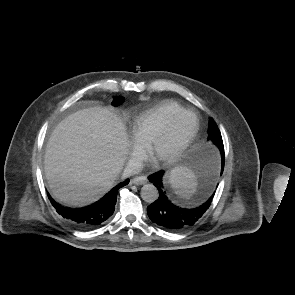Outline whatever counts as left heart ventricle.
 I'll return each instance as SVG.
<instances>
[{
	"label": "left heart ventricle",
	"instance_id": "left-heart-ventricle-1",
	"mask_svg": "<svg viewBox=\"0 0 295 295\" xmlns=\"http://www.w3.org/2000/svg\"><path fill=\"white\" fill-rule=\"evenodd\" d=\"M190 126V120L188 118L182 120L171 137L165 142L163 146V152H167L172 149L176 144L179 143L185 132L188 130Z\"/></svg>",
	"mask_w": 295,
	"mask_h": 295
}]
</instances>
